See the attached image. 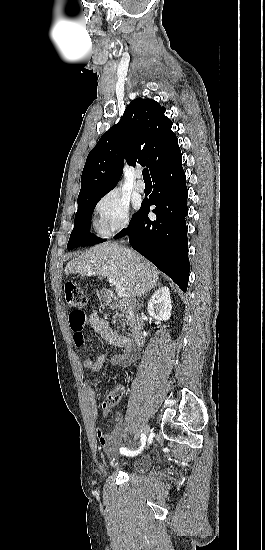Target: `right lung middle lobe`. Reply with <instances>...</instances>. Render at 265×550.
<instances>
[{"label": "right lung middle lobe", "instance_id": "obj_1", "mask_svg": "<svg viewBox=\"0 0 265 550\" xmlns=\"http://www.w3.org/2000/svg\"><path fill=\"white\" fill-rule=\"evenodd\" d=\"M97 196L92 198L78 199V211L75 215V225L71 232L67 249L76 247L91 246L101 243L105 239L98 238L90 233L91 215L97 202L103 197Z\"/></svg>", "mask_w": 265, "mask_h": 550}]
</instances>
